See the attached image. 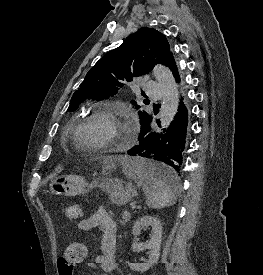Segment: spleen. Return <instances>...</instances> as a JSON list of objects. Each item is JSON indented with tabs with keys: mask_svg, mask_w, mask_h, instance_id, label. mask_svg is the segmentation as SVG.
<instances>
[{
	"mask_svg": "<svg viewBox=\"0 0 263 275\" xmlns=\"http://www.w3.org/2000/svg\"><path fill=\"white\" fill-rule=\"evenodd\" d=\"M122 164L125 175L133 179L137 186L144 190L149 208L159 209L176 202L175 186L154 177L150 173L153 165L145 159L125 157Z\"/></svg>",
	"mask_w": 263,
	"mask_h": 275,
	"instance_id": "3e777b00",
	"label": "spleen"
}]
</instances>
